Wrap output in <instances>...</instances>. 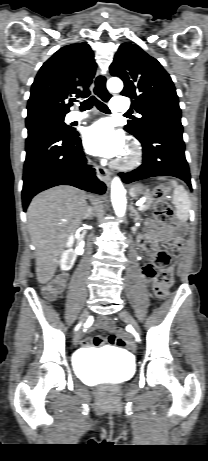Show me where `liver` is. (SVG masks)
Returning a JSON list of instances; mask_svg holds the SVG:
<instances>
[{"instance_id":"liver-1","label":"liver","mask_w":208,"mask_h":461,"mask_svg":"<svg viewBox=\"0 0 208 461\" xmlns=\"http://www.w3.org/2000/svg\"><path fill=\"white\" fill-rule=\"evenodd\" d=\"M89 213L85 192L57 186L35 196L27 209L31 241L36 248V276L41 284L52 279L65 243Z\"/></svg>"}]
</instances>
